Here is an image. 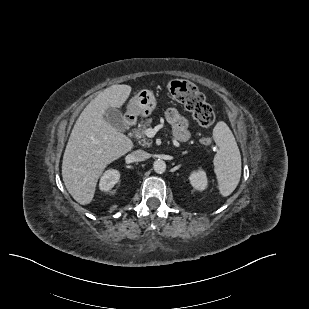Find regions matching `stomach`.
Here are the masks:
<instances>
[{
  "mask_svg": "<svg viewBox=\"0 0 309 309\" xmlns=\"http://www.w3.org/2000/svg\"><path fill=\"white\" fill-rule=\"evenodd\" d=\"M156 103L153 92L148 89H143L131 98L128 109L135 116L148 117L155 109Z\"/></svg>",
  "mask_w": 309,
  "mask_h": 309,
  "instance_id": "1",
  "label": "stomach"
}]
</instances>
